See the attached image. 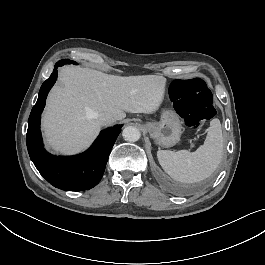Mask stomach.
Listing matches in <instances>:
<instances>
[{"label": "stomach", "instance_id": "obj_1", "mask_svg": "<svg viewBox=\"0 0 265 265\" xmlns=\"http://www.w3.org/2000/svg\"><path fill=\"white\" fill-rule=\"evenodd\" d=\"M143 126L159 147L170 148L180 140L181 123L172 111L163 113L160 122L148 121Z\"/></svg>", "mask_w": 265, "mask_h": 265}]
</instances>
